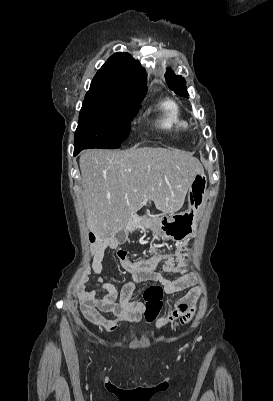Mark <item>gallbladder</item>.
<instances>
[{
	"label": "gallbladder",
	"mask_w": 273,
	"mask_h": 401,
	"mask_svg": "<svg viewBox=\"0 0 273 401\" xmlns=\"http://www.w3.org/2000/svg\"><path fill=\"white\" fill-rule=\"evenodd\" d=\"M116 239L123 245L126 241V228L125 227H119L118 228V233H116Z\"/></svg>",
	"instance_id": "bac80fb5"
}]
</instances>
